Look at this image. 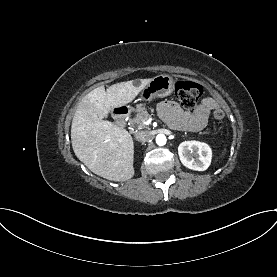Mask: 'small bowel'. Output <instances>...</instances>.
Segmentation results:
<instances>
[{
  "mask_svg": "<svg viewBox=\"0 0 277 277\" xmlns=\"http://www.w3.org/2000/svg\"><path fill=\"white\" fill-rule=\"evenodd\" d=\"M218 107V102L213 98L203 99L193 111H187L179 103L167 100L159 104L158 112L173 129L199 131L206 126L211 111Z\"/></svg>",
  "mask_w": 277,
  "mask_h": 277,
  "instance_id": "small-bowel-1",
  "label": "small bowel"
}]
</instances>
